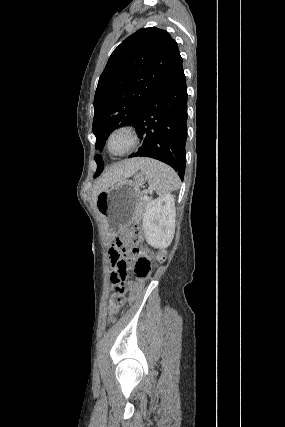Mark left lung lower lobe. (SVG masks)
Returning <instances> with one entry per match:
<instances>
[{
  "label": "left lung lower lobe",
  "mask_w": 285,
  "mask_h": 427,
  "mask_svg": "<svg viewBox=\"0 0 285 427\" xmlns=\"http://www.w3.org/2000/svg\"><path fill=\"white\" fill-rule=\"evenodd\" d=\"M187 86L181 56L138 114L133 126L142 147L129 157L144 156L170 165L183 180L187 140Z\"/></svg>",
  "instance_id": "1"
}]
</instances>
